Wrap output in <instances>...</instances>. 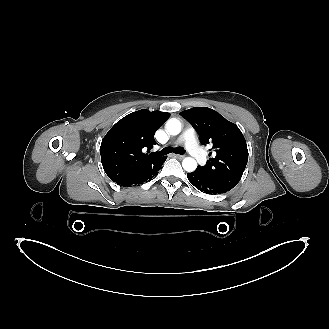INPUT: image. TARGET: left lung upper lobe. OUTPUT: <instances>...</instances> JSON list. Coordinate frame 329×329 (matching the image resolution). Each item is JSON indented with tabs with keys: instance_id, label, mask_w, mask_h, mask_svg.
Returning a JSON list of instances; mask_svg holds the SVG:
<instances>
[{
	"instance_id": "left-lung-upper-lobe-1",
	"label": "left lung upper lobe",
	"mask_w": 329,
	"mask_h": 329,
	"mask_svg": "<svg viewBox=\"0 0 329 329\" xmlns=\"http://www.w3.org/2000/svg\"><path fill=\"white\" fill-rule=\"evenodd\" d=\"M181 115L195 128L201 144H212L215 151L214 157L196 170L216 182L235 187L248 161L246 141L237 125L207 107H194Z\"/></svg>"
}]
</instances>
